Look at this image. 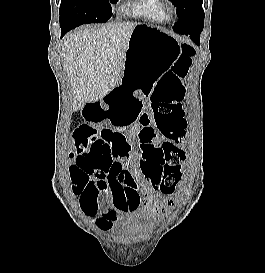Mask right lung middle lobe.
Wrapping results in <instances>:
<instances>
[{
    "mask_svg": "<svg viewBox=\"0 0 265 273\" xmlns=\"http://www.w3.org/2000/svg\"><path fill=\"white\" fill-rule=\"evenodd\" d=\"M117 0H62L59 14L62 32L79 25L106 22L112 15L111 5Z\"/></svg>",
    "mask_w": 265,
    "mask_h": 273,
    "instance_id": "dd1d6c3e",
    "label": "right lung middle lobe"
}]
</instances>
